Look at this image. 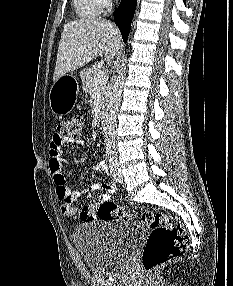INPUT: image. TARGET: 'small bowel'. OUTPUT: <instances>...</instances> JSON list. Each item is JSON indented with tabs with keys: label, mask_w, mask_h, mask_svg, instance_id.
<instances>
[{
	"label": "small bowel",
	"mask_w": 233,
	"mask_h": 286,
	"mask_svg": "<svg viewBox=\"0 0 233 286\" xmlns=\"http://www.w3.org/2000/svg\"><path fill=\"white\" fill-rule=\"evenodd\" d=\"M70 142L60 139L56 134L53 136L49 148V169L56 185V193L61 200V213L64 216H73L78 209L73 205L74 202L82 195L83 192H96L102 191L99 197V202L108 201L110 194L116 190V185L113 182L93 183L86 190H72L70 189L65 180L64 165L65 160L62 157V147L65 143ZM78 146H83L84 141H76ZM97 170L101 172L106 171L105 163H100ZM94 204L85 205L80 209L79 219L83 222L92 221L94 216Z\"/></svg>",
	"instance_id": "obj_1"
}]
</instances>
